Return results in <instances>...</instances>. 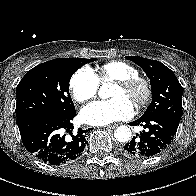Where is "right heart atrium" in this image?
<instances>
[{
  "label": "right heart atrium",
  "instance_id": "right-heart-atrium-1",
  "mask_svg": "<svg viewBox=\"0 0 196 196\" xmlns=\"http://www.w3.org/2000/svg\"><path fill=\"white\" fill-rule=\"evenodd\" d=\"M69 87L73 99L83 103L96 96L99 88V80L90 68L82 67L71 77Z\"/></svg>",
  "mask_w": 196,
  "mask_h": 196
}]
</instances>
